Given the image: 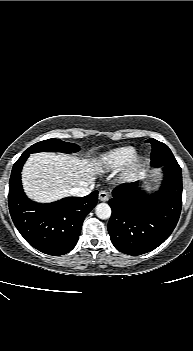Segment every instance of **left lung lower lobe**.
Returning <instances> with one entry per match:
<instances>
[{"label":"left lung lower lobe","instance_id":"left-lung-lower-lobe-1","mask_svg":"<svg viewBox=\"0 0 193 351\" xmlns=\"http://www.w3.org/2000/svg\"><path fill=\"white\" fill-rule=\"evenodd\" d=\"M160 190L147 195L138 183L116 187L109 200L108 231L115 248L141 255L161 245L175 228L182 206V172L178 163L163 166Z\"/></svg>","mask_w":193,"mask_h":351}]
</instances>
